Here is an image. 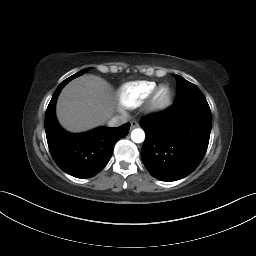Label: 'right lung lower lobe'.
<instances>
[{
  "instance_id": "1",
  "label": "right lung lower lobe",
  "mask_w": 256,
  "mask_h": 256,
  "mask_svg": "<svg viewBox=\"0 0 256 256\" xmlns=\"http://www.w3.org/2000/svg\"><path fill=\"white\" fill-rule=\"evenodd\" d=\"M65 84L54 92L45 115V131L50 153L56 164L76 178H90L109 162L115 143L129 132L130 124L117 128L99 127L83 134L63 130L55 117V103Z\"/></svg>"
}]
</instances>
